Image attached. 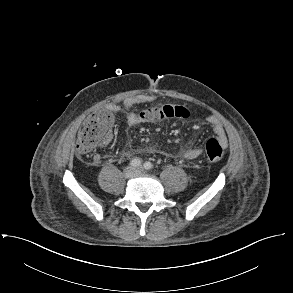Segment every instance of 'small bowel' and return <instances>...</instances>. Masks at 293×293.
<instances>
[{"instance_id": "1", "label": "small bowel", "mask_w": 293, "mask_h": 293, "mask_svg": "<svg viewBox=\"0 0 293 293\" xmlns=\"http://www.w3.org/2000/svg\"><path fill=\"white\" fill-rule=\"evenodd\" d=\"M150 101L151 99L148 96L142 95V96H138V97L126 100L122 105L111 104L108 106V110L114 114L124 115L127 120V123L130 126H136L144 122L154 121V120L143 119L133 112L134 107L148 103ZM206 122L211 127L214 133L215 139L219 141L222 147H227L228 138L219 120L213 116H209L207 117ZM202 153H203L202 147H192L185 150L182 155L186 159L193 160L200 157ZM99 160H100V156L96 155L93 161L95 164H97Z\"/></svg>"}]
</instances>
